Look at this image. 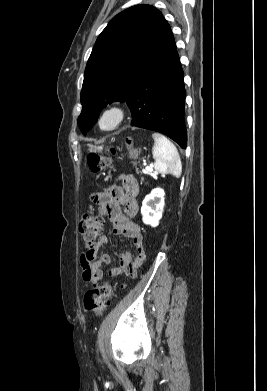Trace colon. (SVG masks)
Wrapping results in <instances>:
<instances>
[{"mask_svg":"<svg viewBox=\"0 0 267 391\" xmlns=\"http://www.w3.org/2000/svg\"><path fill=\"white\" fill-rule=\"evenodd\" d=\"M127 147L131 158H137L139 150L133 147L132 140L130 138L126 141ZM113 152L111 148L109 150ZM87 163L89 169L93 173H99L109 168L110 160L107 155L98 153H90L87 156ZM104 229V219L99 215L92 213H86L83 215L79 230L82 236L83 247L85 250H90ZM112 297V287L109 283H102L90 290L84 295V307L87 311L96 315L102 314L105 309L110 305Z\"/></svg>","mask_w":267,"mask_h":391,"instance_id":"colon-1","label":"colon"}]
</instances>
